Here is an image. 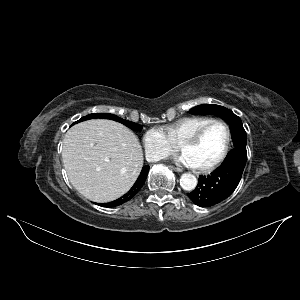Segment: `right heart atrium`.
Segmentation results:
<instances>
[{"label":"right heart atrium","mask_w":300,"mask_h":300,"mask_svg":"<svg viewBox=\"0 0 300 300\" xmlns=\"http://www.w3.org/2000/svg\"><path fill=\"white\" fill-rule=\"evenodd\" d=\"M146 158L150 162L161 161L177 151L162 128L153 127L145 132L142 138Z\"/></svg>","instance_id":"right-heart-atrium-1"}]
</instances>
